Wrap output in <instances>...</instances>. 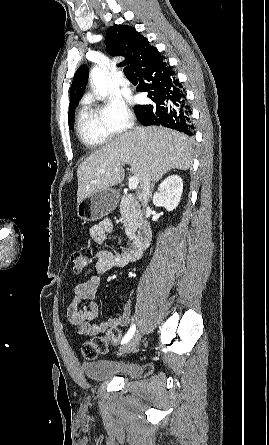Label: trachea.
Here are the masks:
<instances>
[{"instance_id":"1","label":"trachea","mask_w":269,"mask_h":445,"mask_svg":"<svg viewBox=\"0 0 269 445\" xmlns=\"http://www.w3.org/2000/svg\"><path fill=\"white\" fill-rule=\"evenodd\" d=\"M124 74H125V76L127 77V78H130V77H134L135 76V73L133 72V70L131 69V67L130 66H126L125 68H124Z\"/></svg>"}]
</instances>
